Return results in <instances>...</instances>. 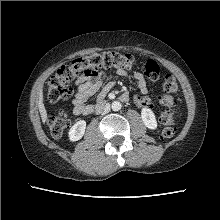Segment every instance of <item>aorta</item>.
Returning <instances> with one entry per match:
<instances>
[{"instance_id":"762f6f07","label":"aorta","mask_w":220,"mask_h":220,"mask_svg":"<svg viewBox=\"0 0 220 220\" xmlns=\"http://www.w3.org/2000/svg\"><path fill=\"white\" fill-rule=\"evenodd\" d=\"M111 107H112L113 111H119V110H121L122 105L119 101H114L112 103Z\"/></svg>"}]
</instances>
